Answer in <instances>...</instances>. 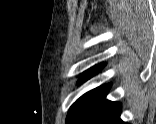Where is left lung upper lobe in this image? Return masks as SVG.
Returning <instances> with one entry per match:
<instances>
[{
  "label": "left lung upper lobe",
  "instance_id": "1",
  "mask_svg": "<svg viewBox=\"0 0 156 124\" xmlns=\"http://www.w3.org/2000/svg\"><path fill=\"white\" fill-rule=\"evenodd\" d=\"M103 66L104 64H100L93 67L91 70L86 71L81 77L79 83L86 81L98 73ZM104 87L105 86L98 87L81 96L69 109L66 124H79Z\"/></svg>",
  "mask_w": 156,
  "mask_h": 124
}]
</instances>
